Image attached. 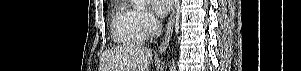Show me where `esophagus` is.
Instances as JSON below:
<instances>
[{"label":"esophagus","instance_id":"obj_1","mask_svg":"<svg viewBox=\"0 0 301 71\" xmlns=\"http://www.w3.org/2000/svg\"><path fill=\"white\" fill-rule=\"evenodd\" d=\"M178 0H173V7H172V12L167 24V28L165 31V35L162 41V44L159 47V53H164L167 49V46L169 44V40L171 38L173 28H174V22H175V13H176V6H177Z\"/></svg>","mask_w":301,"mask_h":71}]
</instances>
